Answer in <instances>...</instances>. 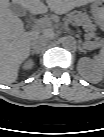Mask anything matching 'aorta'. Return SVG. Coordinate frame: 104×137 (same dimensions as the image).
I'll return each mask as SVG.
<instances>
[{"mask_svg":"<svg viewBox=\"0 0 104 137\" xmlns=\"http://www.w3.org/2000/svg\"><path fill=\"white\" fill-rule=\"evenodd\" d=\"M62 47L66 50H74L77 47V42L74 37L66 36L61 40Z\"/></svg>","mask_w":104,"mask_h":137,"instance_id":"1","label":"aorta"}]
</instances>
